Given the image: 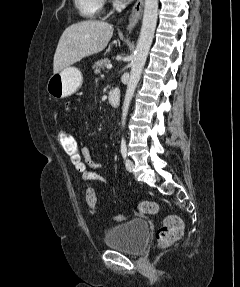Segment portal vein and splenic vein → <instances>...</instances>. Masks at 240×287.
Masks as SVG:
<instances>
[{"label":"portal vein and splenic vein","mask_w":240,"mask_h":287,"mask_svg":"<svg viewBox=\"0 0 240 287\" xmlns=\"http://www.w3.org/2000/svg\"><path fill=\"white\" fill-rule=\"evenodd\" d=\"M106 67L107 69H112V64H108Z\"/></svg>","instance_id":"18ae733b"}]
</instances>
